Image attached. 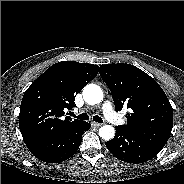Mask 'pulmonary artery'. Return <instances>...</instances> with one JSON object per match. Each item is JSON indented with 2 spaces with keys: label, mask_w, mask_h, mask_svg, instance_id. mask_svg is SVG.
Wrapping results in <instances>:
<instances>
[{
  "label": "pulmonary artery",
  "mask_w": 184,
  "mask_h": 184,
  "mask_svg": "<svg viewBox=\"0 0 184 184\" xmlns=\"http://www.w3.org/2000/svg\"><path fill=\"white\" fill-rule=\"evenodd\" d=\"M101 110L108 121L113 124H121L122 119L118 116V114L114 111L113 105L110 101H105L102 106Z\"/></svg>",
  "instance_id": "1"
}]
</instances>
